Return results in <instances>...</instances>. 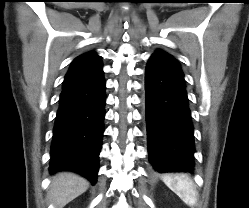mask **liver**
I'll list each match as a JSON object with an SVG mask.
<instances>
[{
	"instance_id": "obj_1",
	"label": "liver",
	"mask_w": 249,
	"mask_h": 208,
	"mask_svg": "<svg viewBox=\"0 0 249 208\" xmlns=\"http://www.w3.org/2000/svg\"><path fill=\"white\" fill-rule=\"evenodd\" d=\"M88 186L89 182L77 174L69 172L58 173L52 177L50 200L56 208H63L84 193Z\"/></svg>"
}]
</instances>
